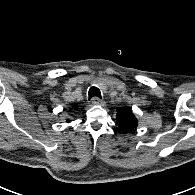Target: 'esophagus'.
<instances>
[{
  "mask_svg": "<svg viewBox=\"0 0 195 195\" xmlns=\"http://www.w3.org/2000/svg\"><path fill=\"white\" fill-rule=\"evenodd\" d=\"M103 100L99 99L98 97H93L92 98V104L93 105H103Z\"/></svg>",
  "mask_w": 195,
  "mask_h": 195,
  "instance_id": "34e87169",
  "label": "esophagus"
}]
</instances>
